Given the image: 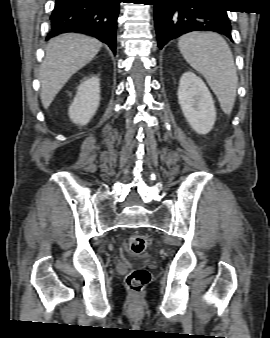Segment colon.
Returning <instances> with one entry per match:
<instances>
[{
  "label": "colon",
  "mask_w": 270,
  "mask_h": 338,
  "mask_svg": "<svg viewBox=\"0 0 270 338\" xmlns=\"http://www.w3.org/2000/svg\"><path fill=\"white\" fill-rule=\"evenodd\" d=\"M128 245L135 255L142 254L147 247V239L144 235H132L128 240ZM150 281V273L141 267L132 269L126 276L128 288L135 292H141Z\"/></svg>",
  "instance_id": "colon-1"
}]
</instances>
